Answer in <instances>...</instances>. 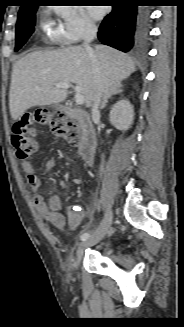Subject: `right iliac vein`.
Wrapping results in <instances>:
<instances>
[{"mask_svg": "<svg viewBox=\"0 0 184 327\" xmlns=\"http://www.w3.org/2000/svg\"><path fill=\"white\" fill-rule=\"evenodd\" d=\"M112 218H113L112 210L108 209L106 211L104 219L102 220V222L99 225V227L97 228V230L89 238H87L85 241L80 243V245L78 246L77 252H76V256H77L76 267L79 266V263H80L81 257L84 254V251L88 247H91V246L97 244L105 236L109 227L111 226Z\"/></svg>", "mask_w": 184, "mask_h": 327, "instance_id": "right-iliac-vein-1", "label": "right iliac vein"}]
</instances>
